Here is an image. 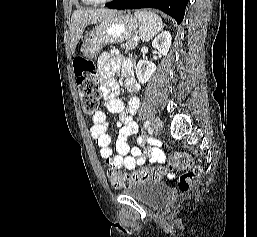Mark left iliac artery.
<instances>
[{
	"label": "left iliac artery",
	"mask_w": 257,
	"mask_h": 237,
	"mask_svg": "<svg viewBox=\"0 0 257 237\" xmlns=\"http://www.w3.org/2000/svg\"><path fill=\"white\" fill-rule=\"evenodd\" d=\"M149 127H150V122H149V121H146V122L144 123V128L147 129V128H149Z\"/></svg>",
	"instance_id": "1"
}]
</instances>
